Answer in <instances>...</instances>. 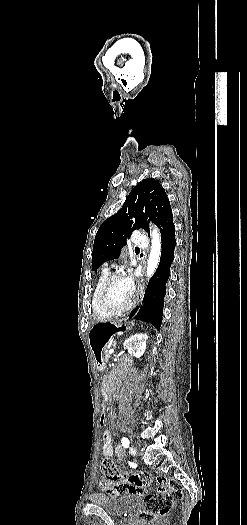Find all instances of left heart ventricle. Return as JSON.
<instances>
[{"mask_svg": "<svg viewBox=\"0 0 247 525\" xmlns=\"http://www.w3.org/2000/svg\"><path fill=\"white\" fill-rule=\"evenodd\" d=\"M128 279L120 277L113 279L103 293V297L109 302H125L130 291L127 289Z\"/></svg>", "mask_w": 247, "mask_h": 525, "instance_id": "left-heart-ventricle-1", "label": "left heart ventricle"}]
</instances>
